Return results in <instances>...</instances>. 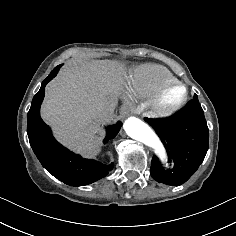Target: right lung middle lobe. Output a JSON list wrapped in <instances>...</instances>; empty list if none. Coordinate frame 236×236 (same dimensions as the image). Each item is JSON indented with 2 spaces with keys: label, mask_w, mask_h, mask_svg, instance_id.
Here are the masks:
<instances>
[{
  "label": "right lung middle lobe",
  "mask_w": 236,
  "mask_h": 236,
  "mask_svg": "<svg viewBox=\"0 0 236 236\" xmlns=\"http://www.w3.org/2000/svg\"><path fill=\"white\" fill-rule=\"evenodd\" d=\"M62 66V64L61 65H58L55 69H54V71H57V70H59V68Z\"/></svg>",
  "instance_id": "dd1d6c3e"
}]
</instances>
